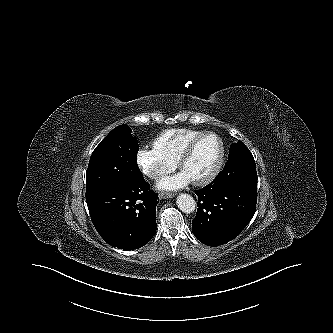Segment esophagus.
<instances>
[{
  "label": "esophagus",
  "instance_id": "obj_1",
  "mask_svg": "<svg viewBox=\"0 0 333 333\" xmlns=\"http://www.w3.org/2000/svg\"><path fill=\"white\" fill-rule=\"evenodd\" d=\"M173 197H174L173 193L162 192L159 194L160 199H168V198H173Z\"/></svg>",
  "mask_w": 333,
  "mask_h": 333
}]
</instances>
